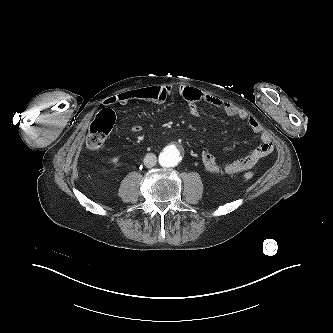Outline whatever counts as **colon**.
Segmentation results:
<instances>
[{
  "label": "colon",
  "instance_id": "obj_1",
  "mask_svg": "<svg viewBox=\"0 0 333 333\" xmlns=\"http://www.w3.org/2000/svg\"><path fill=\"white\" fill-rule=\"evenodd\" d=\"M114 122L115 115L112 110L104 109L98 113L90 125L87 136L86 144L89 150L98 151L102 148ZM243 177L245 180H251L254 177V174L252 172H246Z\"/></svg>",
  "mask_w": 333,
  "mask_h": 333
}]
</instances>
